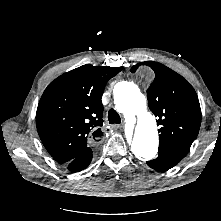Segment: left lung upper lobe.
I'll list each match as a JSON object with an SVG mask.
<instances>
[{
	"instance_id": "obj_1",
	"label": "left lung upper lobe",
	"mask_w": 221,
	"mask_h": 221,
	"mask_svg": "<svg viewBox=\"0 0 221 221\" xmlns=\"http://www.w3.org/2000/svg\"><path fill=\"white\" fill-rule=\"evenodd\" d=\"M155 72V79L147 90L150 110L160 125L159 149L186 155L196 139L201 124V109L194 88L179 74L154 61L141 62Z\"/></svg>"
}]
</instances>
